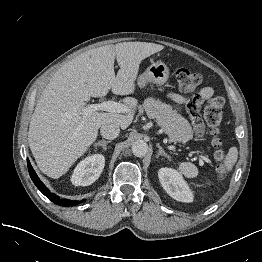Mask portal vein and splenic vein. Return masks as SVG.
<instances>
[{
  "mask_svg": "<svg viewBox=\"0 0 262 262\" xmlns=\"http://www.w3.org/2000/svg\"><path fill=\"white\" fill-rule=\"evenodd\" d=\"M92 111H108L113 113H127L128 108L121 103L114 101H104L98 104H87L84 114L87 115Z\"/></svg>",
  "mask_w": 262,
  "mask_h": 262,
  "instance_id": "18ae733b",
  "label": "portal vein and splenic vein"
}]
</instances>
